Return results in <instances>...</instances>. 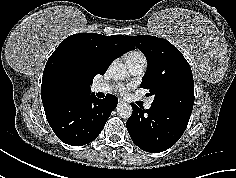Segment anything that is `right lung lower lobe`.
Segmentation results:
<instances>
[{
  "label": "right lung lower lobe",
  "instance_id": "98d812e1",
  "mask_svg": "<svg viewBox=\"0 0 236 178\" xmlns=\"http://www.w3.org/2000/svg\"><path fill=\"white\" fill-rule=\"evenodd\" d=\"M117 98L107 94L98 99L94 93L56 101L44 107L46 118L57 137L72 146L92 142L100 134Z\"/></svg>",
  "mask_w": 236,
  "mask_h": 178
}]
</instances>
